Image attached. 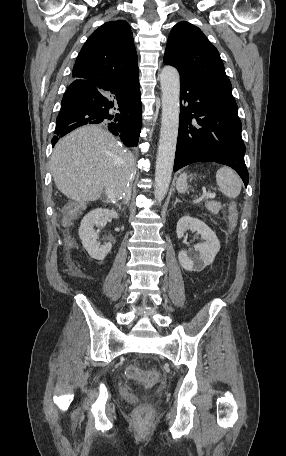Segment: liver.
Segmentation results:
<instances>
[{
  "mask_svg": "<svg viewBox=\"0 0 286 456\" xmlns=\"http://www.w3.org/2000/svg\"><path fill=\"white\" fill-rule=\"evenodd\" d=\"M133 156L98 126L76 129L55 146L51 173L57 189L79 203L98 200L103 188L120 198L129 188Z\"/></svg>",
  "mask_w": 286,
  "mask_h": 456,
  "instance_id": "obj_1",
  "label": "liver"
}]
</instances>
